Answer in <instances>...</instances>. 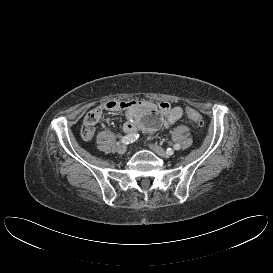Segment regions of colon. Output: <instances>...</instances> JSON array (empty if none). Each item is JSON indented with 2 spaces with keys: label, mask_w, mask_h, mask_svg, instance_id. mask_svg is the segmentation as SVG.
<instances>
[{
  "label": "colon",
  "mask_w": 273,
  "mask_h": 273,
  "mask_svg": "<svg viewBox=\"0 0 273 273\" xmlns=\"http://www.w3.org/2000/svg\"><path fill=\"white\" fill-rule=\"evenodd\" d=\"M186 116L197 126L202 127L204 125L203 117L197 110L193 108H186Z\"/></svg>",
  "instance_id": "5ec220e1"
}]
</instances>
